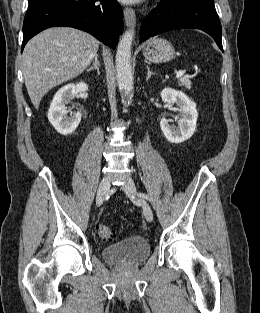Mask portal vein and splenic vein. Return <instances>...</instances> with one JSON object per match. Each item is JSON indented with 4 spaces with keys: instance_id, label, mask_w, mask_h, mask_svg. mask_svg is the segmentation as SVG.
<instances>
[{
    "instance_id": "obj_1",
    "label": "portal vein and splenic vein",
    "mask_w": 260,
    "mask_h": 313,
    "mask_svg": "<svg viewBox=\"0 0 260 313\" xmlns=\"http://www.w3.org/2000/svg\"><path fill=\"white\" fill-rule=\"evenodd\" d=\"M184 72H185V71H183V70L178 71V72L176 73V77L179 78V77L183 76Z\"/></svg>"
}]
</instances>
